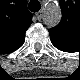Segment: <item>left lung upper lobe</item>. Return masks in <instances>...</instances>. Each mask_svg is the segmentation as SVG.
Here are the masks:
<instances>
[{
    "mask_svg": "<svg viewBox=\"0 0 80 80\" xmlns=\"http://www.w3.org/2000/svg\"><path fill=\"white\" fill-rule=\"evenodd\" d=\"M60 5L63 14L62 20L57 27L49 30V34L53 40H55V35H57L61 41H65L68 44L75 34L79 35L80 22H78L79 20L75 17L71 9L67 7L68 4L66 2L61 1Z\"/></svg>",
    "mask_w": 80,
    "mask_h": 80,
    "instance_id": "obj_1",
    "label": "left lung upper lobe"
}]
</instances>
